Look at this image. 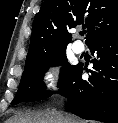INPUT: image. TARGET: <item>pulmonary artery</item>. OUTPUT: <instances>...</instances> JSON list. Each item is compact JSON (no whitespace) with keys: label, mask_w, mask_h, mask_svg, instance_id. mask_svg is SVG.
Masks as SVG:
<instances>
[{"label":"pulmonary artery","mask_w":118,"mask_h":123,"mask_svg":"<svg viewBox=\"0 0 118 123\" xmlns=\"http://www.w3.org/2000/svg\"><path fill=\"white\" fill-rule=\"evenodd\" d=\"M73 51L77 54H82L85 51V46L82 42L77 41L73 44Z\"/></svg>","instance_id":"pulmonary-artery-1"}]
</instances>
